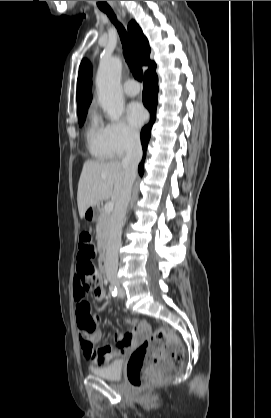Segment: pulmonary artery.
<instances>
[{
    "label": "pulmonary artery",
    "mask_w": 271,
    "mask_h": 418,
    "mask_svg": "<svg viewBox=\"0 0 271 418\" xmlns=\"http://www.w3.org/2000/svg\"><path fill=\"white\" fill-rule=\"evenodd\" d=\"M124 92L128 96H136L140 92V87L138 83L134 80H127L123 86Z\"/></svg>",
    "instance_id": "e3ab8cb5"
}]
</instances>
